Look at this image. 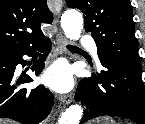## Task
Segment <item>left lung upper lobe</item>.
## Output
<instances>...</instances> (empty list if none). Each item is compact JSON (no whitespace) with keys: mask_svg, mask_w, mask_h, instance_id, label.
I'll return each mask as SVG.
<instances>
[{"mask_svg":"<svg viewBox=\"0 0 145 124\" xmlns=\"http://www.w3.org/2000/svg\"><path fill=\"white\" fill-rule=\"evenodd\" d=\"M84 13L101 62H118L141 70L129 0H66Z\"/></svg>","mask_w":145,"mask_h":124,"instance_id":"1","label":"left lung upper lobe"}]
</instances>
